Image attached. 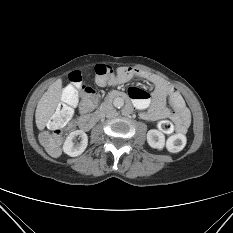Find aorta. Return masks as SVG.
Returning <instances> with one entry per match:
<instances>
[{
  "mask_svg": "<svg viewBox=\"0 0 233 233\" xmlns=\"http://www.w3.org/2000/svg\"><path fill=\"white\" fill-rule=\"evenodd\" d=\"M113 105L116 108H122L124 106V100H123V98H121V97L115 98L114 101H113Z\"/></svg>",
  "mask_w": 233,
  "mask_h": 233,
  "instance_id": "obj_1",
  "label": "aorta"
}]
</instances>
